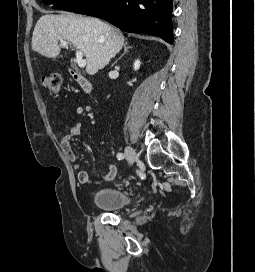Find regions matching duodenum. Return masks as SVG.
I'll use <instances>...</instances> for the list:
<instances>
[{
	"label": "duodenum",
	"instance_id": "410a0bca",
	"mask_svg": "<svg viewBox=\"0 0 255 272\" xmlns=\"http://www.w3.org/2000/svg\"><path fill=\"white\" fill-rule=\"evenodd\" d=\"M71 75L75 79V81L80 85L84 92L89 93L93 90V84L87 79H85L80 73H78L75 70H72Z\"/></svg>",
	"mask_w": 255,
	"mask_h": 272
}]
</instances>
